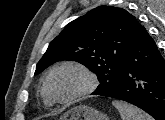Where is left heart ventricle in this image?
I'll use <instances>...</instances> for the list:
<instances>
[{"instance_id": "left-heart-ventricle-1", "label": "left heart ventricle", "mask_w": 165, "mask_h": 120, "mask_svg": "<svg viewBox=\"0 0 165 120\" xmlns=\"http://www.w3.org/2000/svg\"><path fill=\"white\" fill-rule=\"evenodd\" d=\"M86 84L85 77L75 69L67 68L57 71L50 80V89L58 98H67Z\"/></svg>"}]
</instances>
